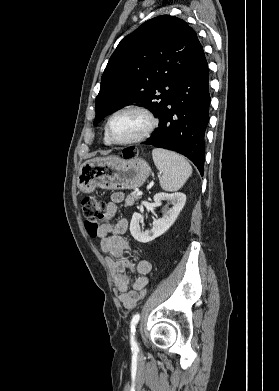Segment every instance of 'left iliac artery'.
I'll return each mask as SVG.
<instances>
[{"label":"left iliac artery","mask_w":279,"mask_h":391,"mask_svg":"<svg viewBox=\"0 0 279 391\" xmlns=\"http://www.w3.org/2000/svg\"><path fill=\"white\" fill-rule=\"evenodd\" d=\"M140 319V315L137 313L133 316L132 320H131V327H130V331H131V335H130V343H131V346L132 348L134 349H138V345H137V342L135 340V328H136V325L138 323Z\"/></svg>","instance_id":"left-iliac-artery-1"}]
</instances>
